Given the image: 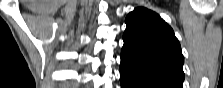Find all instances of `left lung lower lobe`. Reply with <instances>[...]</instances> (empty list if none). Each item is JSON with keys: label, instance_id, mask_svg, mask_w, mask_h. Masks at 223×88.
Returning a JSON list of instances; mask_svg holds the SVG:
<instances>
[{"label": "left lung lower lobe", "instance_id": "left-lung-lower-lobe-1", "mask_svg": "<svg viewBox=\"0 0 223 88\" xmlns=\"http://www.w3.org/2000/svg\"><path fill=\"white\" fill-rule=\"evenodd\" d=\"M120 82L122 88H180L173 83L137 73L124 65H120Z\"/></svg>", "mask_w": 223, "mask_h": 88}]
</instances>
